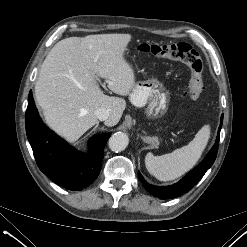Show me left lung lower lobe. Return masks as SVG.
Instances as JSON below:
<instances>
[{
	"label": "left lung lower lobe",
	"instance_id": "left-lung-lower-lobe-1",
	"mask_svg": "<svg viewBox=\"0 0 247 247\" xmlns=\"http://www.w3.org/2000/svg\"><path fill=\"white\" fill-rule=\"evenodd\" d=\"M223 116H221V122L217 133V138L214 146L207 154L205 159L192 171H190L184 178H182L176 184L170 186H153L148 184L142 175L138 173L139 179L145 189L152 195L160 198V199H172L178 196L183 195L184 193L188 192L191 188H193L204 176L206 171L212 166L214 163L217 152H218V145H219V135L220 130L222 127Z\"/></svg>",
	"mask_w": 247,
	"mask_h": 247
}]
</instances>
